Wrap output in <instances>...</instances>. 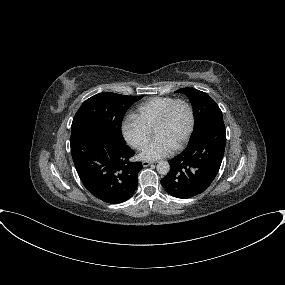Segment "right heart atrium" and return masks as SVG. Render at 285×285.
Returning <instances> with one entry per match:
<instances>
[{"mask_svg": "<svg viewBox=\"0 0 285 285\" xmlns=\"http://www.w3.org/2000/svg\"><path fill=\"white\" fill-rule=\"evenodd\" d=\"M121 131L126 142L138 150L148 143L152 133L134 114L124 117Z\"/></svg>", "mask_w": 285, "mask_h": 285, "instance_id": "d8ad5b80", "label": "right heart atrium"}]
</instances>
